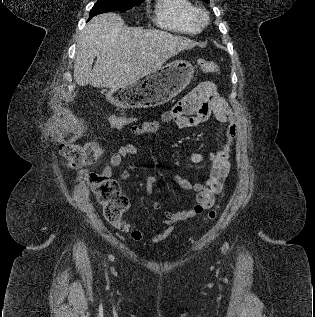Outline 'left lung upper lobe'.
I'll return each instance as SVG.
<instances>
[{
	"instance_id": "5c2ea615",
	"label": "left lung upper lobe",
	"mask_w": 315,
	"mask_h": 317,
	"mask_svg": "<svg viewBox=\"0 0 315 317\" xmlns=\"http://www.w3.org/2000/svg\"><path fill=\"white\" fill-rule=\"evenodd\" d=\"M206 3H209V0H204Z\"/></svg>"
}]
</instances>
